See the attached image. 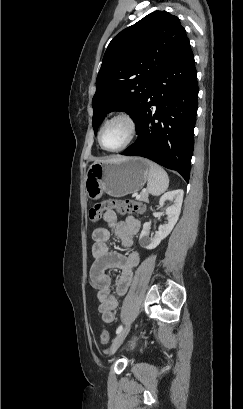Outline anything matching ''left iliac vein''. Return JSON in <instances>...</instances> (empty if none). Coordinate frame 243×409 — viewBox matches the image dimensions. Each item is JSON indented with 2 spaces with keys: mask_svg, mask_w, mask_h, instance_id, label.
<instances>
[{
  "mask_svg": "<svg viewBox=\"0 0 243 409\" xmlns=\"http://www.w3.org/2000/svg\"><path fill=\"white\" fill-rule=\"evenodd\" d=\"M130 330V325H128L126 328H124L112 341V344L109 349V354L113 355L116 350L120 347L122 342L124 341L125 337L129 333Z\"/></svg>",
  "mask_w": 243,
  "mask_h": 409,
  "instance_id": "left-iliac-vein-1",
  "label": "left iliac vein"
}]
</instances>
